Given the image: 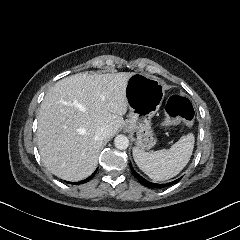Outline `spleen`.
Returning <instances> with one entry per match:
<instances>
[{"mask_svg": "<svg viewBox=\"0 0 240 240\" xmlns=\"http://www.w3.org/2000/svg\"><path fill=\"white\" fill-rule=\"evenodd\" d=\"M194 142L193 133H189L182 136L169 149L150 153L134 147L133 158L139 169L153 181H165L178 175L188 164Z\"/></svg>", "mask_w": 240, "mask_h": 240, "instance_id": "1", "label": "spleen"}]
</instances>
